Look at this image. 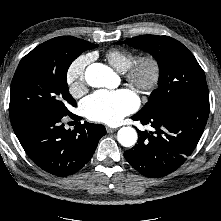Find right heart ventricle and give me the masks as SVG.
Instances as JSON below:
<instances>
[{"mask_svg": "<svg viewBox=\"0 0 221 221\" xmlns=\"http://www.w3.org/2000/svg\"><path fill=\"white\" fill-rule=\"evenodd\" d=\"M105 56L108 62L120 72H125L137 58L134 52L124 48H112Z\"/></svg>", "mask_w": 221, "mask_h": 221, "instance_id": "obj_1", "label": "right heart ventricle"}]
</instances>
